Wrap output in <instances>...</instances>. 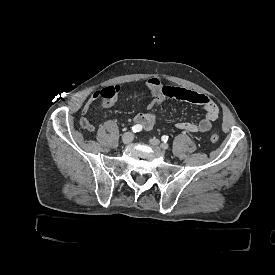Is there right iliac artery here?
Returning a JSON list of instances; mask_svg holds the SVG:
<instances>
[{"instance_id": "82829eb1", "label": "right iliac artery", "mask_w": 275, "mask_h": 275, "mask_svg": "<svg viewBox=\"0 0 275 275\" xmlns=\"http://www.w3.org/2000/svg\"><path fill=\"white\" fill-rule=\"evenodd\" d=\"M141 130H142V125H140V124L134 125V126L132 127V131H133V132H139V131H141Z\"/></svg>"}]
</instances>
